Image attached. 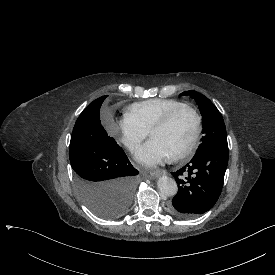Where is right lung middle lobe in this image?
Returning a JSON list of instances; mask_svg holds the SVG:
<instances>
[{"label":"right lung middle lobe","mask_w":275,"mask_h":275,"mask_svg":"<svg viewBox=\"0 0 275 275\" xmlns=\"http://www.w3.org/2000/svg\"><path fill=\"white\" fill-rule=\"evenodd\" d=\"M106 97L94 100L78 117L69 157L76 189L88 208L100 217L117 218L130 208L140 176L101 125Z\"/></svg>","instance_id":"1"}]
</instances>
